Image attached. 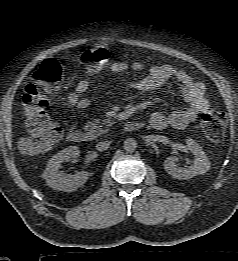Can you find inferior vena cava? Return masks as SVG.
Masks as SVG:
<instances>
[{
    "label": "inferior vena cava",
    "mask_w": 238,
    "mask_h": 261,
    "mask_svg": "<svg viewBox=\"0 0 238 261\" xmlns=\"http://www.w3.org/2000/svg\"><path fill=\"white\" fill-rule=\"evenodd\" d=\"M110 146V141H104V142H99L97 145H96V149L98 151H105L109 148Z\"/></svg>",
    "instance_id": "obj_1"
}]
</instances>
